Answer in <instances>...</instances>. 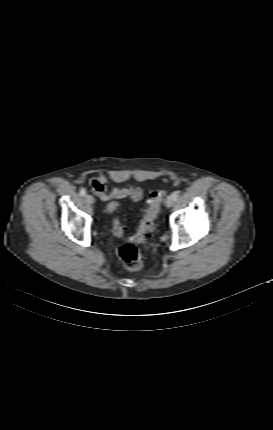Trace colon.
<instances>
[{
	"mask_svg": "<svg viewBox=\"0 0 273 430\" xmlns=\"http://www.w3.org/2000/svg\"><path fill=\"white\" fill-rule=\"evenodd\" d=\"M165 195L166 191L164 190L153 192L150 195L148 206L138 221L135 234L120 247L119 258L127 269L139 270L142 267L141 255L136 244L145 241L154 231V222L158 217ZM118 206V202H111L107 206V211L113 212ZM113 232L119 237L124 234V227L118 217L113 220Z\"/></svg>",
	"mask_w": 273,
	"mask_h": 430,
	"instance_id": "5ec220e1",
	"label": "colon"
}]
</instances>
